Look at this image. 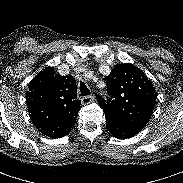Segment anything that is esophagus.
I'll return each mask as SVG.
<instances>
[{"mask_svg":"<svg viewBox=\"0 0 183 183\" xmlns=\"http://www.w3.org/2000/svg\"><path fill=\"white\" fill-rule=\"evenodd\" d=\"M94 99L95 97L93 95H88V96H84L81 101H82V104L86 105L93 102Z\"/></svg>","mask_w":183,"mask_h":183,"instance_id":"obj_1","label":"esophagus"}]
</instances>
